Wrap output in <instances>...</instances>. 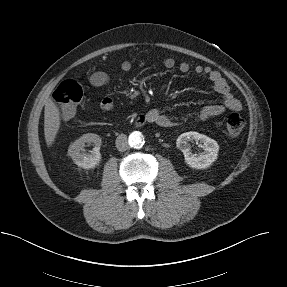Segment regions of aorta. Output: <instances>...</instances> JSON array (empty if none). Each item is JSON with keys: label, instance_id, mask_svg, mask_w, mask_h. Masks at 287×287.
I'll list each match as a JSON object with an SVG mask.
<instances>
[{"label": "aorta", "instance_id": "1", "mask_svg": "<svg viewBox=\"0 0 287 287\" xmlns=\"http://www.w3.org/2000/svg\"><path fill=\"white\" fill-rule=\"evenodd\" d=\"M129 145L133 148H141L144 142L143 136L140 132L135 131L129 135Z\"/></svg>", "mask_w": 287, "mask_h": 287}]
</instances>
